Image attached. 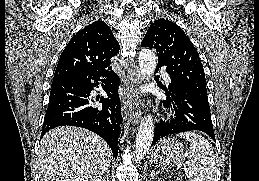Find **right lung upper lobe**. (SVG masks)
I'll return each instance as SVG.
<instances>
[{
	"instance_id": "cb5924a9",
	"label": "right lung upper lobe",
	"mask_w": 259,
	"mask_h": 181,
	"mask_svg": "<svg viewBox=\"0 0 259 181\" xmlns=\"http://www.w3.org/2000/svg\"><path fill=\"white\" fill-rule=\"evenodd\" d=\"M119 52V43L110 27L96 21L72 37L60 55L53 83L83 72L101 70L110 65Z\"/></svg>"
}]
</instances>
